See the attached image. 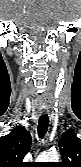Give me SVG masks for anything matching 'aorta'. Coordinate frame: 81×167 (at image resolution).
<instances>
[{"label":"aorta","instance_id":"1","mask_svg":"<svg viewBox=\"0 0 81 167\" xmlns=\"http://www.w3.org/2000/svg\"><path fill=\"white\" fill-rule=\"evenodd\" d=\"M38 162H58L59 155L56 151L44 152L37 158Z\"/></svg>","mask_w":81,"mask_h":167}]
</instances>
